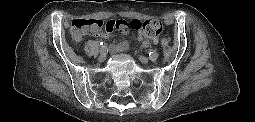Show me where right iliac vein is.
<instances>
[{
  "mask_svg": "<svg viewBox=\"0 0 255 122\" xmlns=\"http://www.w3.org/2000/svg\"><path fill=\"white\" fill-rule=\"evenodd\" d=\"M105 59H106V51L100 50V55L98 57V60L100 62H103V61H105Z\"/></svg>",
  "mask_w": 255,
  "mask_h": 122,
  "instance_id": "right-iliac-vein-1",
  "label": "right iliac vein"
}]
</instances>
